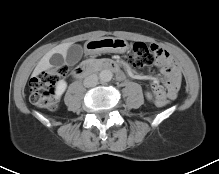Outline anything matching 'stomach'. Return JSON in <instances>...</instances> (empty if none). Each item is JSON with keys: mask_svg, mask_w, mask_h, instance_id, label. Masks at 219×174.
<instances>
[{"mask_svg": "<svg viewBox=\"0 0 219 174\" xmlns=\"http://www.w3.org/2000/svg\"><path fill=\"white\" fill-rule=\"evenodd\" d=\"M128 46L127 41L123 38L103 37L87 41L85 51L89 55L107 52L124 53Z\"/></svg>", "mask_w": 219, "mask_h": 174, "instance_id": "1", "label": "stomach"}]
</instances>
